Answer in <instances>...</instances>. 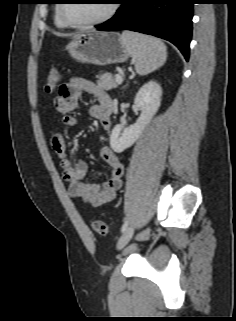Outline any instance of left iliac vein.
Returning <instances> with one entry per match:
<instances>
[{"mask_svg": "<svg viewBox=\"0 0 236 321\" xmlns=\"http://www.w3.org/2000/svg\"><path fill=\"white\" fill-rule=\"evenodd\" d=\"M133 233H134V227L133 226L128 227L119 238L117 243V248L122 249L123 247H125L131 240Z\"/></svg>", "mask_w": 236, "mask_h": 321, "instance_id": "4c4485c4", "label": "left iliac vein"}]
</instances>
